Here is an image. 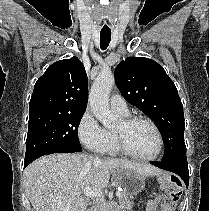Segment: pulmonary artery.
Instances as JSON below:
<instances>
[{
    "label": "pulmonary artery",
    "mask_w": 209,
    "mask_h": 211,
    "mask_svg": "<svg viewBox=\"0 0 209 211\" xmlns=\"http://www.w3.org/2000/svg\"><path fill=\"white\" fill-rule=\"evenodd\" d=\"M110 106L114 111L122 115H127L129 113L125 99L119 94H115L111 97Z\"/></svg>",
    "instance_id": "pulmonary-artery-1"
}]
</instances>
